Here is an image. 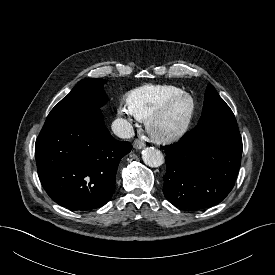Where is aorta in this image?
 <instances>
[{"label": "aorta", "instance_id": "aorta-1", "mask_svg": "<svg viewBox=\"0 0 275 275\" xmlns=\"http://www.w3.org/2000/svg\"><path fill=\"white\" fill-rule=\"evenodd\" d=\"M143 162L149 167H159L164 162L163 154L154 147H147L142 151Z\"/></svg>", "mask_w": 275, "mask_h": 275}]
</instances>
